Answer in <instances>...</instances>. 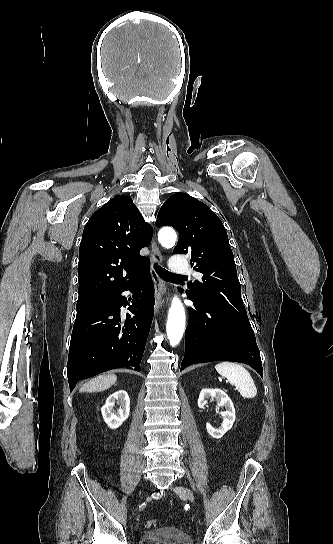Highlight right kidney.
<instances>
[{
	"label": "right kidney",
	"instance_id": "1",
	"mask_svg": "<svg viewBox=\"0 0 333 544\" xmlns=\"http://www.w3.org/2000/svg\"><path fill=\"white\" fill-rule=\"evenodd\" d=\"M115 404L119 406L117 412L114 411ZM101 413L104 421L111 429L121 426L130 414V398L127 392L118 390L111 394L101 408Z\"/></svg>",
	"mask_w": 333,
	"mask_h": 544
}]
</instances>
